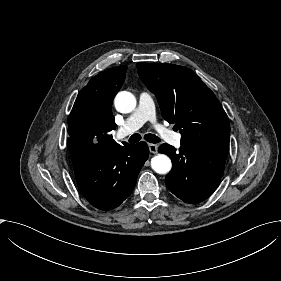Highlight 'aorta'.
Returning <instances> with one entry per match:
<instances>
[{
  "instance_id": "1",
  "label": "aorta",
  "mask_w": 281,
  "mask_h": 281,
  "mask_svg": "<svg viewBox=\"0 0 281 281\" xmlns=\"http://www.w3.org/2000/svg\"><path fill=\"white\" fill-rule=\"evenodd\" d=\"M114 101L115 108L120 113H130L136 107L135 96L127 91L119 92ZM151 167L158 174H166L172 168L171 159L165 154H158L151 159Z\"/></svg>"
}]
</instances>
